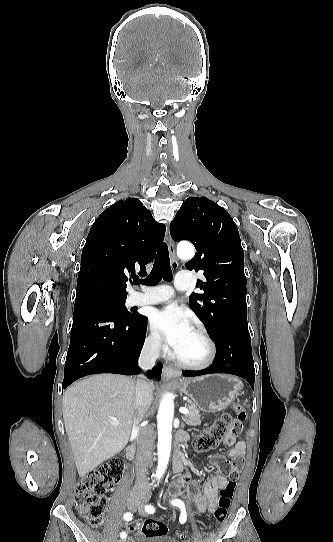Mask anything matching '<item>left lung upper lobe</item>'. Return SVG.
Listing matches in <instances>:
<instances>
[{"label": "left lung upper lobe", "instance_id": "obj_1", "mask_svg": "<svg viewBox=\"0 0 333 542\" xmlns=\"http://www.w3.org/2000/svg\"><path fill=\"white\" fill-rule=\"evenodd\" d=\"M170 234L174 241L189 240L196 248L185 266L203 270L205 280H197L203 293L191 294L190 308L213 339L230 324H247L244 251L229 213L205 197H189L171 222Z\"/></svg>", "mask_w": 333, "mask_h": 542}]
</instances>
